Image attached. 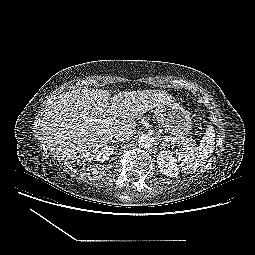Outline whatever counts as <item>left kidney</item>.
<instances>
[{
	"mask_svg": "<svg viewBox=\"0 0 255 255\" xmlns=\"http://www.w3.org/2000/svg\"><path fill=\"white\" fill-rule=\"evenodd\" d=\"M176 161L171 151L162 150L157 156V163L160 171L169 177H176L179 173V167Z\"/></svg>",
	"mask_w": 255,
	"mask_h": 255,
	"instance_id": "1",
	"label": "left kidney"
}]
</instances>
